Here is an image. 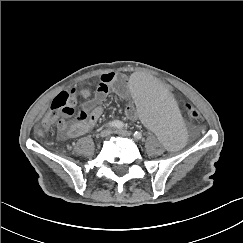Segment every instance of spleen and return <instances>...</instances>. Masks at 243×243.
Returning a JSON list of instances; mask_svg holds the SVG:
<instances>
[{
  "instance_id": "spleen-1",
  "label": "spleen",
  "mask_w": 243,
  "mask_h": 243,
  "mask_svg": "<svg viewBox=\"0 0 243 243\" xmlns=\"http://www.w3.org/2000/svg\"><path fill=\"white\" fill-rule=\"evenodd\" d=\"M126 92L135 101L134 114L147 126L156 142L168 151H179L189 141V128L180 107L166 86L147 71H136L126 81Z\"/></svg>"
}]
</instances>
